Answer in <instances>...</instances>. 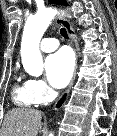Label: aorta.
Here are the masks:
<instances>
[{
  "label": "aorta",
  "mask_w": 117,
  "mask_h": 136,
  "mask_svg": "<svg viewBox=\"0 0 117 136\" xmlns=\"http://www.w3.org/2000/svg\"><path fill=\"white\" fill-rule=\"evenodd\" d=\"M55 13L54 9L45 8L29 17L25 23L21 42V59L24 69L32 76H40L43 72V59L39 45ZM49 136L54 134L50 133Z\"/></svg>",
  "instance_id": "obj_1"
}]
</instances>
